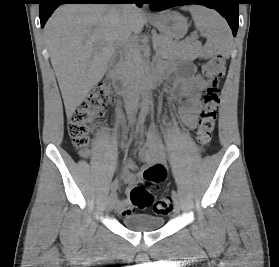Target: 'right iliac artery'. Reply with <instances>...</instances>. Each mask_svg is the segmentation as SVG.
I'll use <instances>...</instances> for the list:
<instances>
[{
  "label": "right iliac artery",
  "instance_id": "1",
  "mask_svg": "<svg viewBox=\"0 0 279 267\" xmlns=\"http://www.w3.org/2000/svg\"><path fill=\"white\" fill-rule=\"evenodd\" d=\"M144 121H145V115L144 114H140L139 115V118H138V122H137V125H136V131L135 133H139L140 130H141V127L143 126L144 124ZM117 186H118V181L117 180H114L112 185H111V192L114 193L117 189Z\"/></svg>",
  "mask_w": 279,
  "mask_h": 267
}]
</instances>
